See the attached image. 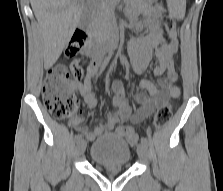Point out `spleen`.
<instances>
[{"label": "spleen", "instance_id": "obj_1", "mask_svg": "<svg viewBox=\"0 0 223 191\" xmlns=\"http://www.w3.org/2000/svg\"><path fill=\"white\" fill-rule=\"evenodd\" d=\"M171 15L176 19H183L186 11V0H167Z\"/></svg>", "mask_w": 223, "mask_h": 191}]
</instances>
